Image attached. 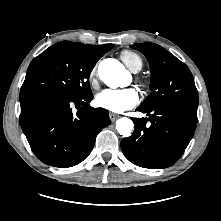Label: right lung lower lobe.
I'll use <instances>...</instances> for the list:
<instances>
[{
	"instance_id": "obj_1",
	"label": "right lung lower lobe",
	"mask_w": 221,
	"mask_h": 221,
	"mask_svg": "<svg viewBox=\"0 0 221 221\" xmlns=\"http://www.w3.org/2000/svg\"><path fill=\"white\" fill-rule=\"evenodd\" d=\"M92 99V94L71 98L49 90L20 92L22 130L43 163L67 168L90 154L97 134L111 123L106 109L88 105Z\"/></svg>"
}]
</instances>
